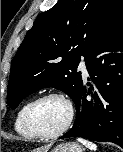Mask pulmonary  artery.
I'll list each match as a JSON object with an SVG mask.
<instances>
[{
    "label": "pulmonary artery",
    "instance_id": "obj_1",
    "mask_svg": "<svg viewBox=\"0 0 123 152\" xmlns=\"http://www.w3.org/2000/svg\"><path fill=\"white\" fill-rule=\"evenodd\" d=\"M79 70L81 71L84 78H87L89 76L87 67L83 61L79 64Z\"/></svg>",
    "mask_w": 123,
    "mask_h": 152
}]
</instances>
